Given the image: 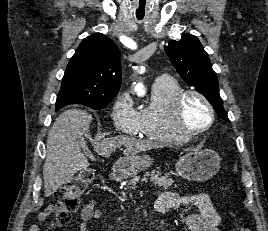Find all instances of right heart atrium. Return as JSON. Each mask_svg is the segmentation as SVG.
<instances>
[{
	"label": "right heart atrium",
	"mask_w": 268,
	"mask_h": 231,
	"mask_svg": "<svg viewBox=\"0 0 268 231\" xmlns=\"http://www.w3.org/2000/svg\"><path fill=\"white\" fill-rule=\"evenodd\" d=\"M111 117L114 126L121 132L137 135L141 132L139 110L136 109L128 91L121 92L113 102Z\"/></svg>",
	"instance_id": "right-heart-atrium-1"
}]
</instances>
